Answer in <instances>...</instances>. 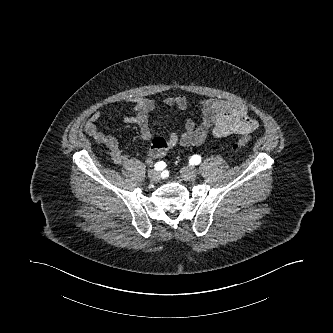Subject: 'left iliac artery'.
I'll return each instance as SVG.
<instances>
[{"mask_svg": "<svg viewBox=\"0 0 333 333\" xmlns=\"http://www.w3.org/2000/svg\"><path fill=\"white\" fill-rule=\"evenodd\" d=\"M192 164L198 165L201 162V157L199 155H193L190 159Z\"/></svg>", "mask_w": 333, "mask_h": 333, "instance_id": "1", "label": "left iliac artery"}]
</instances>
